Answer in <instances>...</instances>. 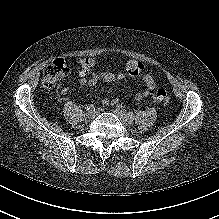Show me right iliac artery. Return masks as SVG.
<instances>
[{
    "mask_svg": "<svg viewBox=\"0 0 219 219\" xmlns=\"http://www.w3.org/2000/svg\"><path fill=\"white\" fill-rule=\"evenodd\" d=\"M86 110H87V112L95 111V106H94L93 104H89V105L86 107Z\"/></svg>",
    "mask_w": 219,
    "mask_h": 219,
    "instance_id": "right-iliac-artery-1",
    "label": "right iliac artery"
}]
</instances>
